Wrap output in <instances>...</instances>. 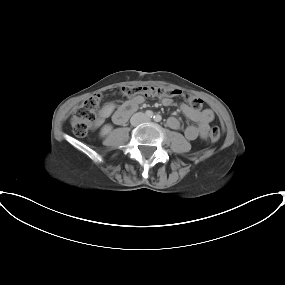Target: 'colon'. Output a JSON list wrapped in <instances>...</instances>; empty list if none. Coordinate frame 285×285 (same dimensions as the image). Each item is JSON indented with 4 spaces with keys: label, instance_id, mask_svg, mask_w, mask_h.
<instances>
[{
    "label": "colon",
    "instance_id": "colon-1",
    "mask_svg": "<svg viewBox=\"0 0 285 285\" xmlns=\"http://www.w3.org/2000/svg\"><path fill=\"white\" fill-rule=\"evenodd\" d=\"M121 95L125 97H135L137 95L142 96H182L185 101L194 109L200 110L203 106V100L197 96L191 94H185L178 88H169L155 85H131L123 86L120 89ZM102 96L98 93L91 95L74 111L71 118V125L74 132L79 136H84L91 125L96 119V113L98 111ZM210 139L216 142L221 137V129L219 126H213L210 130Z\"/></svg>",
    "mask_w": 285,
    "mask_h": 285
}]
</instances>
